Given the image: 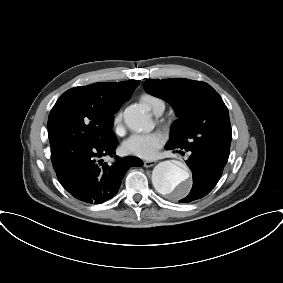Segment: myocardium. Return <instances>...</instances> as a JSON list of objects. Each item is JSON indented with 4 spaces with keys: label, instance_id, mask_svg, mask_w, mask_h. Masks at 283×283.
I'll list each match as a JSON object with an SVG mask.
<instances>
[{
    "label": "myocardium",
    "instance_id": "myocardium-1",
    "mask_svg": "<svg viewBox=\"0 0 283 283\" xmlns=\"http://www.w3.org/2000/svg\"><path fill=\"white\" fill-rule=\"evenodd\" d=\"M159 123L166 129H168L170 127V122L166 119H160Z\"/></svg>",
    "mask_w": 283,
    "mask_h": 283
}]
</instances>
